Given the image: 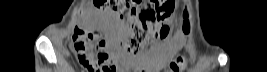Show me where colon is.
Here are the masks:
<instances>
[{"mask_svg":"<svg viewBox=\"0 0 267 72\" xmlns=\"http://www.w3.org/2000/svg\"><path fill=\"white\" fill-rule=\"evenodd\" d=\"M95 5L101 11H111L124 20L129 31L130 38L124 44L125 50L130 54L138 53L147 43L164 39L168 36L169 27L165 23L172 12L170 0H95ZM190 28L188 22L183 24L187 32ZM72 41L76 46L82 63L91 68L93 72H115L117 62L114 57L103 49L106 47L104 41L96 45L84 29L74 30ZM97 47L98 50H94ZM187 57L178 58L172 65V71L182 70L187 63Z\"/></svg>","mask_w":267,"mask_h":72,"instance_id":"obj_1","label":"colon"}]
</instances>
